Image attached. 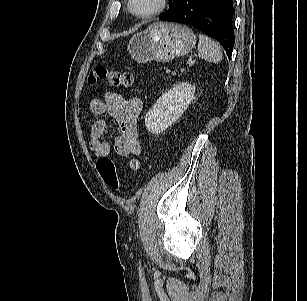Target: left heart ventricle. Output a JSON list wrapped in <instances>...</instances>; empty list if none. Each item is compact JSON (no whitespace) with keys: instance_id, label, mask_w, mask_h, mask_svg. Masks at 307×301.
Segmentation results:
<instances>
[{"instance_id":"left-heart-ventricle-1","label":"left heart ventricle","mask_w":307,"mask_h":301,"mask_svg":"<svg viewBox=\"0 0 307 301\" xmlns=\"http://www.w3.org/2000/svg\"><path fill=\"white\" fill-rule=\"evenodd\" d=\"M160 0H133L132 6L138 13L145 14L153 11L158 5Z\"/></svg>"}]
</instances>
